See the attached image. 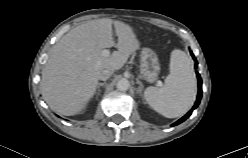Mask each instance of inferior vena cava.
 Here are the masks:
<instances>
[{"instance_id": "obj_1", "label": "inferior vena cava", "mask_w": 248, "mask_h": 158, "mask_svg": "<svg viewBox=\"0 0 248 158\" xmlns=\"http://www.w3.org/2000/svg\"><path fill=\"white\" fill-rule=\"evenodd\" d=\"M113 73H114L113 68H110V67L106 68V69L102 70L101 73L99 74V79L105 81V80L109 79Z\"/></svg>"}]
</instances>
